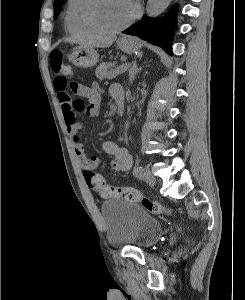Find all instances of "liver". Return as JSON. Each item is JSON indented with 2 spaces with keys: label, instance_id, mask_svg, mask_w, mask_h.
Masks as SVG:
<instances>
[{
  "label": "liver",
  "instance_id": "1",
  "mask_svg": "<svg viewBox=\"0 0 245 300\" xmlns=\"http://www.w3.org/2000/svg\"><path fill=\"white\" fill-rule=\"evenodd\" d=\"M116 37L109 36V37H103V36H89L80 40L75 39H68V42H78L81 47H88V48H107L110 47Z\"/></svg>",
  "mask_w": 245,
  "mask_h": 300
}]
</instances>
